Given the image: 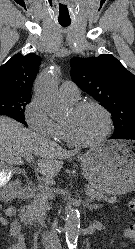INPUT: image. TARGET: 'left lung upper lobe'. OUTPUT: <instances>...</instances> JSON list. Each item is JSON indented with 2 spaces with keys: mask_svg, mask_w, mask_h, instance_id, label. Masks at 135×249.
I'll use <instances>...</instances> for the list:
<instances>
[{
  "mask_svg": "<svg viewBox=\"0 0 135 249\" xmlns=\"http://www.w3.org/2000/svg\"><path fill=\"white\" fill-rule=\"evenodd\" d=\"M73 81L112 114L114 134L135 127V76L113 55L71 59Z\"/></svg>",
  "mask_w": 135,
  "mask_h": 249,
  "instance_id": "1",
  "label": "left lung upper lobe"
}]
</instances>
